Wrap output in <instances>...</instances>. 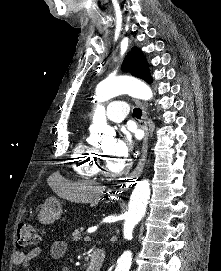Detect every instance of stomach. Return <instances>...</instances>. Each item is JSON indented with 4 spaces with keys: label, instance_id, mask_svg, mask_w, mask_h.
<instances>
[{
    "label": "stomach",
    "instance_id": "obj_1",
    "mask_svg": "<svg viewBox=\"0 0 221 271\" xmlns=\"http://www.w3.org/2000/svg\"><path fill=\"white\" fill-rule=\"evenodd\" d=\"M62 213V207L58 199H47L43 203L39 213L38 219L41 223H53L55 219H58Z\"/></svg>",
    "mask_w": 221,
    "mask_h": 271
}]
</instances>
